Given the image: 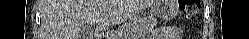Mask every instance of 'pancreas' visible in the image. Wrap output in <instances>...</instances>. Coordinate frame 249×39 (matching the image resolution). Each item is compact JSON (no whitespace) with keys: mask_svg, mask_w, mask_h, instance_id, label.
Wrapping results in <instances>:
<instances>
[{"mask_svg":"<svg viewBox=\"0 0 249 39\" xmlns=\"http://www.w3.org/2000/svg\"><path fill=\"white\" fill-rule=\"evenodd\" d=\"M156 25L157 20L155 18L147 16L136 17L123 26L121 37L117 38L123 39L128 36H145L150 33Z\"/></svg>","mask_w":249,"mask_h":39,"instance_id":"cf45deb5","label":"pancreas"}]
</instances>
